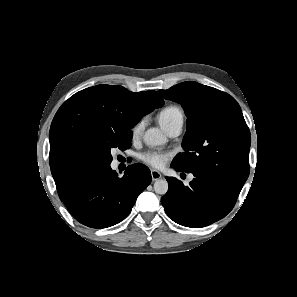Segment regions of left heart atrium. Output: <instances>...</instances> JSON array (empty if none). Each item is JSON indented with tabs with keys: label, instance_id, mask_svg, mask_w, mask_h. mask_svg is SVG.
Listing matches in <instances>:
<instances>
[{
	"label": "left heart atrium",
	"instance_id": "39dd6f15",
	"mask_svg": "<svg viewBox=\"0 0 297 297\" xmlns=\"http://www.w3.org/2000/svg\"><path fill=\"white\" fill-rule=\"evenodd\" d=\"M171 157L170 152L165 151H148L143 154L142 160L145 164L156 168L161 169L165 166L169 158Z\"/></svg>",
	"mask_w": 297,
	"mask_h": 297
}]
</instances>
